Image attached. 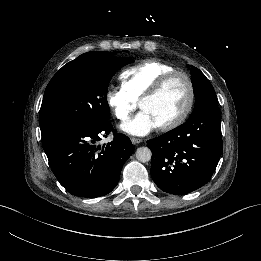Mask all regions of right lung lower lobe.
I'll list each match as a JSON object with an SVG mask.
<instances>
[{
  "label": "right lung lower lobe",
  "instance_id": "obj_1",
  "mask_svg": "<svg viewBox=\"0 0 261 261\" xmlns=\"http://www.w3.org/2000/svg\"><path fill=\"white\" fill-rule=\"evenodd\" d=\"M113 131L112 142L98 146ZM51 169L72 195L96 198L117 185L121 169L133 153L130 139L113 130L110 121L92 127H61L42 139Z\"/></svg>",
  "mask_w": 261,
  "mask_h": 261
}]
</instances>
